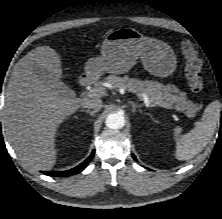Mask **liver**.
<instances>
[{"label": "liver", "mask_w": 222, "mask_h": 219, "mask_svg": "<svg viewBox=\"0 0 222 219\" xmlns=\"http://www.w3.org/2000/svg\"><path fill=\"white\" fill-rule=\"evenodd\" d=\"M61 64L56 50L37 47L15 64L8 82L3 112L5 133L18 159L27 167L46 170L55 165L59 125L90 100L60 95L34 71L41 67L59 79Z\"/></svg>", "instance_id": "6515ba94"}]
</instances>
